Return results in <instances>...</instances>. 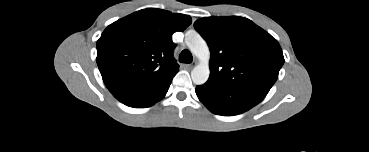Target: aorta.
<instances>
[{"mask_svg":"<svg viewBox=\"0 0 369 152\" xmlns=\"http://www.w3.org/2000/svg\"><path fill=\"white\" fill-rule=\"evenodd\" d=\"M186 44L190 51L199 59V64L191 71V78L194 84H204L210 75L209 59L210 50L206 41L198 34H187Z\"/></svg>","mask_w":369,"mask_h":152,"instance_id":"aorta-1","label":"aorta"}]
</instances>
